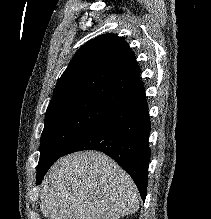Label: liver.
<instances>
[{"mask_svg": "<svg viewBox=\"0 0 211 219\" xmlns=\"http://www.w3.org/2000/svg\"><path fill=\"white\" fill-rule=\"evenodd\" d=\"M40 199L50 219H119L139 209L131 177L98 151L60 158L42 181Z\"/></svg>", "mask_w": 211, "mask_h": 219, "instance_id": "6515ba94", "label": "liver"}]
</instances>
